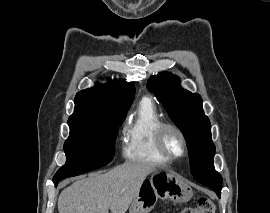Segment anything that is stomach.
I'll return each instance as SVG.
<instances>
[{
	"label": "stomach",
	"instance_id": "1",
	"mask_svg": "<svg viewBox=\"0 0 270 213\" xmlns=\"http://www.w3.org/2000/svg\"><path fill=\"white\" fill-rule=\"evenodd\" d=\"M193 196L189 184L179 175L158 168L145 180L137 197L132 202L129 213H149L157 200L169 199L176 203H185Z\"/></svg>",
	"mask_w": 270,
	"mask_h": 213
}]
</instances>
